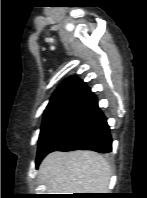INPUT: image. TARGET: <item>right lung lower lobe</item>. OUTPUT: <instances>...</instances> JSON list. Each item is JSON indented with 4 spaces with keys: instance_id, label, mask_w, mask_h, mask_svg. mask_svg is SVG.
Returning a JSON list of instances; mask_svg holds the SVG:
<instances>
[{
    "instance_id": "obj_1",
    "label": "right lung lower lobe",
    "mask_w": 147,
    "mask_h": 198,
    "mask_svg": "<svg viewBox=\"0 0 147 198\" xmlns=\"http://www.w3.org/2000/svg\"><path fill=\"white\" fill-rule=\"evenodd\" d=\"M93 150L100 153L112 151V139L97 98L90 94L73 107L63 122L40 147L36 165L50 152Z\"/></svg>"
}]
</instances>
